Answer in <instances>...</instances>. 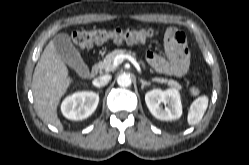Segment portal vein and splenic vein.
<instances>
[{
	"label": "portal vein and splenic vein",
	"instance_id": "portal-vein-and-splenic-vein-1",
	"mask_svg": "<svg viewBox=\"0 0 249 165\" xmlns=\"http://www.w3.org/2000/svg\"><path fill=\"white\" fill-rule=\"evenodd\" d=\"M124 59H128L135 66L137 71L141 72L140 65L136 61V59L133 58L131 55H126V54L116 56L114 61H113V67H117L119 64H121L123 62Z\"/></svg>",
	"mask_w": 249,
	"mask_h": 165
}]
</instances>
